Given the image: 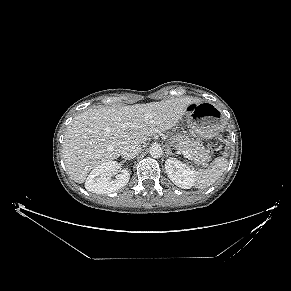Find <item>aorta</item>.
Masks as SVG:
<instances>
[{
  "label": "aorta",
  "mask_w": 291,
  "mask_h": 291,
  "mask_svg": "<svg viewBox=\"0 0 291 291\" xmlns=\"http://www.w3.org/2000/svg\"><path fill=\"white\" fill-rule=\"evenodd\" d=\"M149 153L153 158H160L163 154V150L160 145L153 144L149 149Z\"/></svg>",
  "instance_id": "762f6f07"
}]
</instances>
